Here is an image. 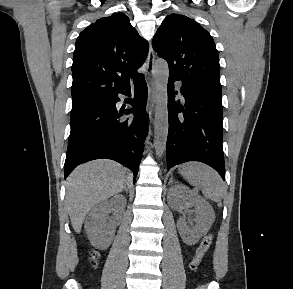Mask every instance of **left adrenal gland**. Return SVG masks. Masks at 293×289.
<instances>
[{
	"label": "left adrenal gland",
	"mask_w": 293,
	"mask_h": 289,
	"mask_svg": "<svg viewBox=\"0 0 293 289\" xmlns=\"http://www.w3.org/2000/svg\"><path fill=\"white\" fill-rule=\"evenodd\" d=\"M172 182H173V176L171 175V178L169 180V185L172 184Z\"/></svg>",
	"instance_id": "obj_1"
}]
</instances>
